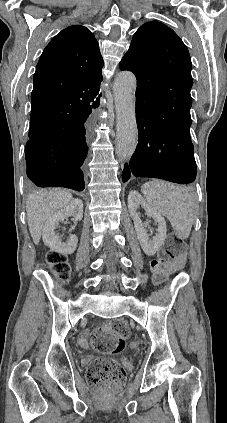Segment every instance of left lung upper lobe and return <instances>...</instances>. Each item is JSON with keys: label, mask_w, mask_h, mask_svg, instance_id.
I'll list each match as a JSON object with an SVG mask.
<instances>
[{"label": "left lung upper lobe", "mask_w": 227, "mask_h": 423, "mask_svg": "<svg viewBox=\"0 0 227 423\" xmlns=\"http://www.w3.org/2000/svg\"><path fill=\"white\" fill-rule=\"evenodd\" d=\"M119 65L137 78L136 108L190 112L191 59L185 44L168 26L156 21L142 25Z\"/></svg>", "instance_id": "1"}]
</instances>
